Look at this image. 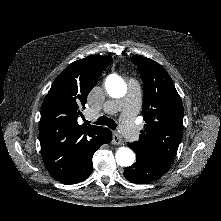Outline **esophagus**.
<instances>
[{
    "label": "esophagus",
    "instance_id": "obj_1",
    "mask_svg": "<svg viewBox=\"0 0 221 221\" xmlns=\"http://www.w3.org/2000/svg\"><path fill=\"white\" fill-rule=\"evenodd\" d=\"M122 142H123V139H122L121 135L117 131H114L112 144L113 145H120V144H122Z\"/></svg>",
    "mask_w": 221,
    "mask_h": 221
}]
</instances>
